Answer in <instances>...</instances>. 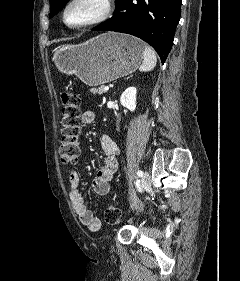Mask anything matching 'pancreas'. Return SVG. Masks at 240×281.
Listing matches in <instances>:
<instances>
[{
	"instance_id": "1",
	"label": "pancreas",
	"mask_w": 240,
	"mask_h": 281,
	"mask_svg": "<svg viewBox=\"0 0 240 281\" xmlns=\"http://www.w3.org/2000/svg\"><path fill=\"white\" fill-rule=\"evenodd\" d=\"M90 92H92L93 94H103L106 91L104 90V87L101 86V87H98V88H91Z\"/></svg>"
}]
</instances>
